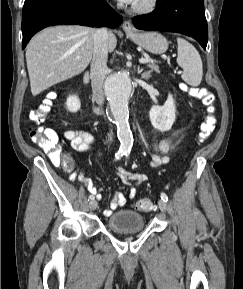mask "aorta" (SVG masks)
I'll return each mask as SVG.
<instances>
[{
  "mask_svg": "<svg viewBox=\"0 0 243 289\" xmlns=\"http://www.w3.org/2000/svg\"><path fill=\"white\" fill-rule=\"evenodd\" d=\"M104 90L117 126L120 151L130 152L133 145V136L128 122V100L132 90L129 73L121 71L110 75L105 81Z\"/></svg>",
  "mask_w": 243,
  "mask_h": 289,
  "instance_id": "1",
  "label": "aorta"
}]
</instances>
